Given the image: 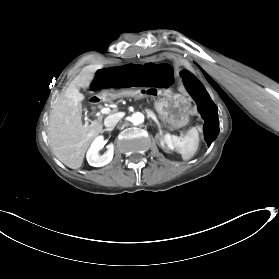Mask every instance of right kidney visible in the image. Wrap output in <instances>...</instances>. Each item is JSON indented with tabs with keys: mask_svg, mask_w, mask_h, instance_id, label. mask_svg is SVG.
Returning a JSON list of instances; mask_svg holds the SVG:
<instances>
[{
	"mask_svg": "<svg viewBox=\"0 0 279 279\" xmlns=\"http://www.w3.org/2000/svg\"><path fill=\"white\" fill-rule=\"evenodd\" d=\"M104 145L105 142L103 136H98L95 138L86 155L89 165L101 167L108 164L112 160L114 154V147L112 143L107 145L106 153L103 155L98 154L99 150H101Z\"/></svg>",
	"mask_w": 279,
	"mask_h": 279,
	"instance_id": "obj_1",
	"label": "right kidney"
}]
</instances>
